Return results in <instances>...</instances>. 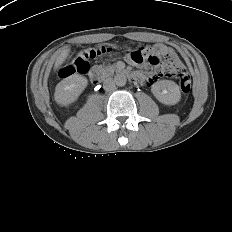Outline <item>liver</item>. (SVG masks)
<instances>
[{"label":"liver","instance_id":"obj_1","mask_svg":"<svg viewBox=\"0 0 232 232\" xmlns=\"http://www.w3.org/2000/svg\"><path fill=\"white\" fill-rule=\"evenodd\" d=\"M69 52H70V49L66 48V49H63L61 53L57 56L55 65H54L55 70L58 69L64 63V61L68 58Z\"/></svg>","mask_w":232,"mask_h":232}]
</instances>
